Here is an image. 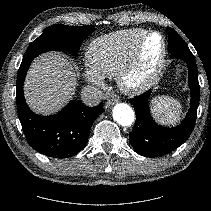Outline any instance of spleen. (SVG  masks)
I'll use <instances>...</instances> for the list:
<instances>
[{
  "instance_id": "obj_1",
  "label": "spleen",
  "mask_w": 211,
  "mask_h": 211,
  "mask_svg": "<svg viewBox=\"0 0 211 211\" xmlns=\"http://www.w3.org/2000/svg\"><path fill=\"white\" fill-rule=\"evenodd\" d=\"M180 102L172 97L159 96L152 100V114L162 124H174L180 119Z\"/></svg>"
}]
</instances>
